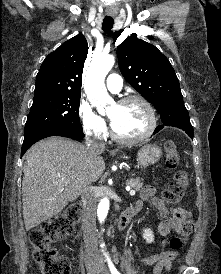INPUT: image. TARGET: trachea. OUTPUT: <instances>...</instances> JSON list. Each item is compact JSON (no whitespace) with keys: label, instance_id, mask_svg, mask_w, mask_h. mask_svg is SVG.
Here are the masks:
<instances>
[{"label":"trachea","instance_id":"3493384b","mask_svg":"<svg viewBox=\"0 0 221 274\" xmlns=\"http://www.w3.org/2000/svg\"><path fill=\"white\" fill-rule=\"evenodd\" d=\"M113 24H114L113 18L110 17V16H106L103 20V23H102L103 31L104 32H109L112 29Z\"/></svg>","mask_w":221,"mask_h":274}]
</instances>
